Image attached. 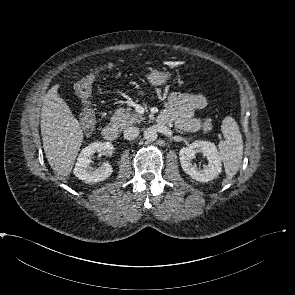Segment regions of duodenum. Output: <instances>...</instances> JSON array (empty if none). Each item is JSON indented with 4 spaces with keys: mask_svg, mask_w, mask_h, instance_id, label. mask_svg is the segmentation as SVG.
Returning <instances> with one entry per match:
<instances>
[{
    "mask_svg": "<svg viewBox=\"0 0 295 295\" xmlns=\"http://www.w3.org/2000/svg\"><path fill=\"white\" fill-rule=\"evenodd\" d=\"M103 137L108 141H114L119 137L118 126L114 123L108 124L102 129Z\"/></svg>",
    "mask_w": 295,
    "mask_h": 295,
    "instance_id": "410a0bca",
    "label": "duodenum"
}]
</instances>
